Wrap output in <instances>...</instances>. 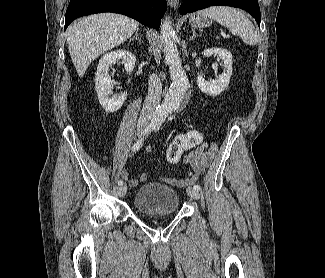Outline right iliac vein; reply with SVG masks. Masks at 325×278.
<instances>
[{
	"instance_id": "63e3f726",
	"label": "right iliac vein",
	"mask_w": 325,
	"mask_h": 278,
	"mask_svg": "<svg viewBox=\"0 0 325 278\" xmlns=\"http://www.w3.org/2000/svg\"><path fill=\"white\" fill-rule=\"evenodd\" d=\"M137 133L138 135H141L143 133V128L142 127L138 128ZM117 192L120 197H124L127 192V186L126 185L119 186L117 188Z\"/></svg>"
}]
</instances>
